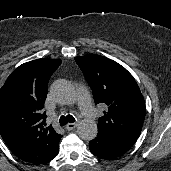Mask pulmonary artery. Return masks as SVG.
Here are the masks:
<instances>
[{
  "mask_svg": "<svg viewBox=\"0 0 171 171\" xmlns=\"http://www.w3.org/2000/svg\"><path fill=\"white\" fill-rule=\"evenodd\" d=\"M77 100L79 102L82 114L87 120H93L98 116L97 110L91 104L90 97L84 89L78 90Z\"/></svg>",
  "mask_w": 171,
  "mask_h": 171,
  "instance_id": "e3ab8cb5",
  "label": "pulmonary artery"
}]
</instances>
